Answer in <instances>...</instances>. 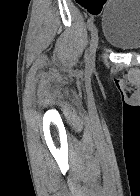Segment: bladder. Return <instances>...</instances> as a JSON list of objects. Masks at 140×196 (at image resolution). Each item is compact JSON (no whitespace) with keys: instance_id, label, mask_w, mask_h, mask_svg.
Masks as SVG:
<instances>
[{"instance_id":"31cf9c89","label":"bladder","mask_w":140,"mask_h":196,"mask_svg":"<svg viewBox=\"0 0 140 196\" xmlns=\"http://www.w3.org/2000/svg\"><path fill=\"white\" fill-rule=\"evenodd\" d=\"M104 40L122 51H140V0H110L102 15Z\"/></svg>"}]
</instances>
